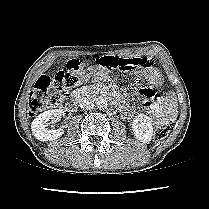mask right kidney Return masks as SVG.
<instances>
[{
  "mask_svg": "<svg viewBox=\"0 0 209 209\" xmlns=\"http://www.w3.org/2000/svg\"><path fill=\"white\" fill-rule=\"evenodd\" d=\"M62 115H64V111L62 109H52L38 115L31 124L32 133L35 138L40 141H50L61 137L64 133L62 128L49 130L46 127L50 119Z\"/></svg>",
  "mask_w": 209,
  "mask_h": 209,
  "instance_id": "1",
  "label": "right kidney"
}]
</instances>
